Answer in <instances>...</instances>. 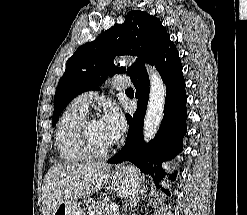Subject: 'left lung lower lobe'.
Segmentation results:
<instances>
[{"label":"left lung lower lobe","instance_id":"1","mask_svg":"<svg viewBox=\"0 0 247 215\" xmlns=\"http://www.w3.org/2000/svg\"><path fill=\"white\" fill-rule=\"evenodd\" d=\"M166 84L165 111L155 138L143 143V122L149 96V78L146 70L131 78L136 88L137 110L133 117L127 115L129 133L124 147L108 163L130 161L144 174L153 177L155 185L163 180L165 172L162 162L175 157L182 151V140L187 132L186 91L182 64L176 46L170 39L161 47L153 61ZM176 172L170 176L175 179ZM169 195V191L166 190Z\"/></svg>","mask_w":247,"mask_h":215}]
</instances>
